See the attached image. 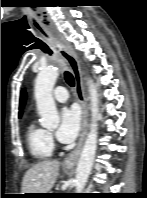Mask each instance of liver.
<instances>
[{
	"label": "liver",
	"mask_w": 147,
	"mask_h": 198,
	"mask_svg": "<svg viewBox=\"0 0 147 198\" xmlns=\"http://www.w3.org/2000/svg\"><path fill=\"white\" fill-rule=\"evenodd\" d=\"M59 165V161L47 160L28 169L22 181V194L48 193L58 177Z\"/></svg>",
	"instance_id": "1"
}]
</instances>
